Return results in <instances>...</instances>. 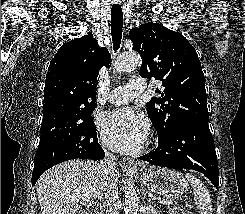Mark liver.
Here are the masks:
<instances>
[{
  "label": "liver",
  "instance_id": "1",
  "mask_svg": "<svg viewBox=\"0 0 245 214\" xmlns=\"http://www.w3.org/2000/svg\"><path fill=\"white\" fill-rule=\"evenodd\" d=\"M98 164L71 160L46 171L36 184L41 214H75L80 200L73 196L79 194L103 200L106 184H117L119 173L106 175Z\"/></svg>",
  "mask_w": 245,
  "mask_h": 214
}]
</instances>
